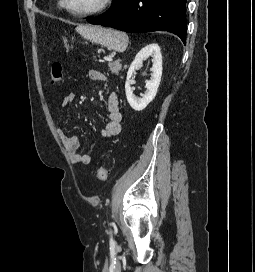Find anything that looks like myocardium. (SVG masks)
Instances as JSON below:
<instances>
[{
	"instance_id": "obj_1",
	"label": "myocardium",
	"mask_w": 255,
	"mask_h": 272,
	"mask_svg": "<svg viewBox=\"0 0 255 272\" xmlns=\"http://www.w3.org/2000/svg\"><path fill=\"white\" fill-rule=\"evenodd\" d=\"M62 9L66 10L69 14L76 16V17H88L92 15H97L105 11L112 0H102L101 3L94 9L87 10V11H75L71 9L68 5L67 0H60Z\"/></svg>"
}]
</instances>
